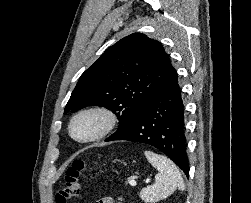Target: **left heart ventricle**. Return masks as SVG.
I'll return each mask as SVG.
<instances>
[{"mask_svg":"<svg viewBox=\"0 0 251 203\" xmlns=\"http://www.w3.org/2000/svg\"><path fill=\"white\" fill-rule=\"evenodd\" d=\"M99 127V120L94 116H83L74 124V133L79 138L93 134Z\"/></svg>","mask_w":251,"mask_h":203,"instance_id":"b2bd125f","label":"left heart ventricle"}]
</instances>
